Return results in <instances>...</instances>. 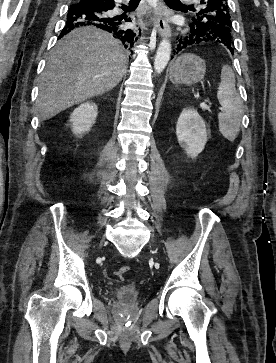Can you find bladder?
<instances>
[{"label": "bladder", "mask_w": 276, "mask_h": 363, "mask_svg": "<svg viewBox=\"0 0 276 363\" xmlns=\"http://www.w3.org/2000/svg\"><path fill=\"white\" fill-rule=\"evenodd\" d=\"M114 295L124 304H135L139 298V288L133 285L120 286L114 290Z\"/></svg>", "instance_id": "bladder-1"}]
</instances>
